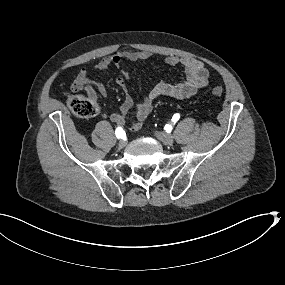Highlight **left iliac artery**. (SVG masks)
I'll return each instance as SVG.
<instances>
[{
  "label": "left iliac artery",
  "mask_w": 285,
  "mask_h": 285,
  "mask_svg": "<svg viewBox=\"0 0 285 285\" xmlns=\"http://www.w3.org/2000/svg\"><path fill=\"white\" fill-rule=\"evenodd\" d=\"M180 118V115L178 113L174 114L172 117V121L175 123L176 121H178Z\"/></svg>",
  "instance_id": "44dca946"
}]
</instances>
